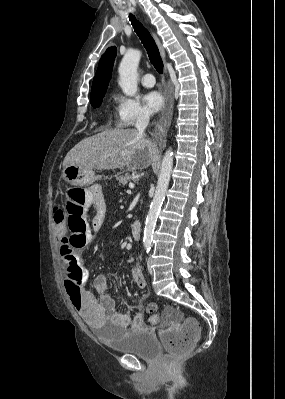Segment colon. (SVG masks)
<instances>
[{
  "mask_svg": "<svg viewBox=\"0 0 285 399\" xmlns=\"http://www.w3.org/2000/svg\"><path fill=\"white\" fill-rule=\"evenodd\" d=\"M83 197V191L69 190L60 204L64 209L63 218L69 230L68 240L60 250V259L69 273L76 267L78 250L87 245L92 238V229L82 210ZM65 287L73 305L79 307L83 293L82 285L67 278ZM200 332V327L195 321H183L180 318L162 330V338L166 345L164 364L170 367L177 358L190 353L199 339Z\"/></svg>",
  "mask_w": 285,
  "mask_h": 399,
  "instance_id": "5ec220e1",
  "label": "colon"
}]
</instances>
